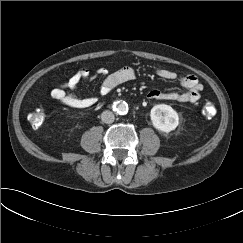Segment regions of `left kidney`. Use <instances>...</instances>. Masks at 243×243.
<instances>
[{
    "mask_svg": "<svg viewBox=\"0 0 243 243\" xmlns=\"http://www.w3.org/2000/svg\"><path fill=\"white\" fill-rule=\"evenodd\" d=\"M153 126L162 132L169 133L179 124L178 113L169 105L158 104L150 111Z\"/></svg>",
    "mask_w": 243,
    "mask_h": 243,
    "instance_id": "5707ae66",
    "label": "left kidney"
}]
</instances>
